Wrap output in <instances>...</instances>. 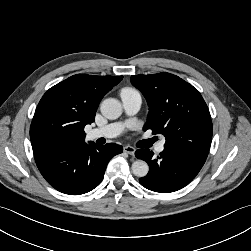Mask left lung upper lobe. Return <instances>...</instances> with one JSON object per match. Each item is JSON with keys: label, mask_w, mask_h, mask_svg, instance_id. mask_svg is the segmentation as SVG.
I'll list each match as a JSON object with an SVG mask.
<instances>
[{"label": "left lung upper lobe", "mask_w": 251, "mask_h": 251, "mask_svg": "<svg viewBox=\"0 0 251 251\" xmlns=\"http://www.w3.org/2000/svg\"><path fill=\"white\" fill-rule=\"evenodd\" d=\"M131 83L139 89L149 106L144 131L162 133L164 146L199 147L209 151L212 121L200 92L170 73L133 75Z\"/></svg>", "instance_id": "1"}]
</instances>
